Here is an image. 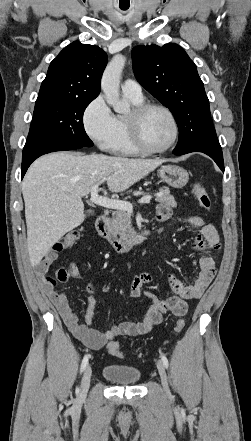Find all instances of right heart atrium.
Segmentation results:
<instances>
[{"label": "right heart atrium", "instance_id": "right-heart-atrium-1", "mask_svg": "<svg viewBox=\"0 0 251 441\" xmlns=\"http://www.w3.org/2000/svg\"><path fill=\"white\" fill-rule=\"evenodd\" d=\"M88 137L101 149L108 150L117 132L116 118L102 95L96 96L83 112Z\"/></svg>", "mask_w": 251, "mask_h": 441}]
</instances>
